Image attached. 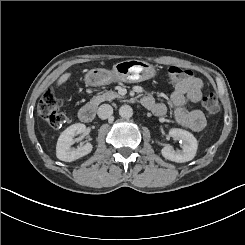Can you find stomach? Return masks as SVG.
I'll return each instance as SVG.
<instances>
[{
  "label": "stomach",
  "instance_id": "obj_1",
  "mask_svg": "<svg viewBox=\"0 0 245 245\" xmlns=\"http://www.w3.org/2000/svg\"><path fill=\"white\" fill-rule=\"evenodd\" d=\"M156 66L142 60L118 62L112 70L93 68L85 74V82L89 86H103L116 82L139 83L158 76Z\"/></svg>",
  "mask_w": 245,
  "mask_h": 245
}]
</instances>
